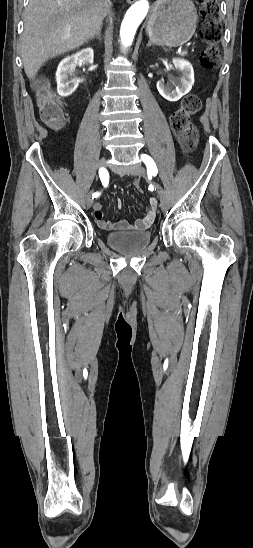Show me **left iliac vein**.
Listing matches in <instances>:
<instances>
[{
  "label": "left iliac vein",
  "mask_w": 253,
  "mask_h": 548,
  "mask_svg": "<svg viewBox=\"0 0 253 548\" xmlns=\"http://www.w3.org/2000/svg\"><path fill=\"white\" fill-rule=\"evenodd\" d=\"M135 173H136V175L141 176V177H144L146 175L145 169L140 165L136 168ZM153 184H154V186L157 190V194H158V197L160 199V207L164 211L166 209V206H167L166 193H165L164 189L162 188V186L160 184H158L157 182H153Z\"/></svg>",
  "instance_id": "1"
}]
</instances>
